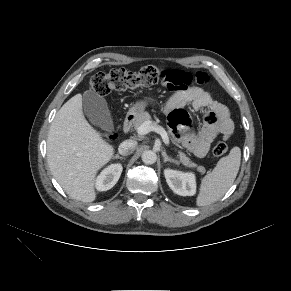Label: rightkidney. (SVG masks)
Instances as JSON below:
<instances>
[{
    "label": "right kidney",
    "instance_id": "obj_1",
    "mask_svg": "<svg viewBox=\"0 0 291 291\" xmlns=\"http://www.w3.org/2000/svg\"><path fill=\"white\" fill-rule=\"evenodd\" d=\"M122 169L121 164H111L105 168L96 179V188L99 191L111 189L119 180Z\"/></svg>",
    "mask_w": 291,
    "mask_h": 291
}]
</instances>
